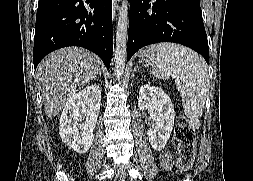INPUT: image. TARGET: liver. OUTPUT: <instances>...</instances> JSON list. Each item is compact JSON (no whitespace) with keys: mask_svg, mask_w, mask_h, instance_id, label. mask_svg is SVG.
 <instances>
[{"mask_svg":"<svg viewBox=\"0 0 253 181\" xmlns=\"http://www.w3.org/2000/svg\"><path fill=\"white\" fill-rule=\"evenodd\" d=\"M100 65L97 55L80 47L59 49L45 57L35 77L47 117H55L70 97L95 79Z\"/></svg>","mask_w":253,"mask_h":181,"instance_id":"liver-1","label":"liver"}]
</instances>
